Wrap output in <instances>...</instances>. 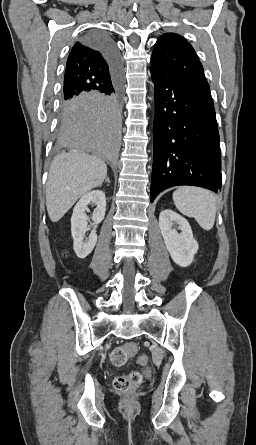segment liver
Wrapping results in <instances>:
<instances>
[{"instance_id":"obj_1","label":"liver","mask_w":256,"mask_h":445,"mask_svg":"<svg viewBox=\"0 0 256 445\" xmlns=\"http://www.w3.org/2000/svg\"><path fill=\"white\" fill-rule=\"evenodd\" d=\"M107 166L98 157L61 152L53 159L46 183V208L52 222L59 221L88 191L99 187Z\"/></svg>"}]
</instances>
